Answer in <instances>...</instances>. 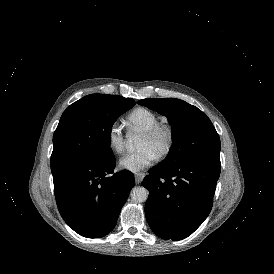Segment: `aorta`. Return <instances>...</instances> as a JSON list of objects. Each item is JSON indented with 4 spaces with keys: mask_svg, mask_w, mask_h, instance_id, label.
Segmentation results:
<instances>
[{
    "mask_svg": "<svg viewBox=\"0 0 274 274\" xmlns=\"http://www.w3.org/2000/svg\"><path fill=\"white\" fill-rule=\"evenodd\" d=\"M138 139H139L138 135L133 133L130 134L126 141L127 148L133 149L137 145ZM148 195H149L148 190L142 186H135L130 193L131 199L134 202H144L147 200Z\"/></svg>",
    "mask_w": 274,
    "mask_h": 274,
    "instance_id": "1",
    "label": "aorta"
}]
</instances>
